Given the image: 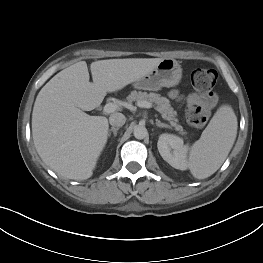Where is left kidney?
<instances>
[{
  "label": "left kidney",
  "mask_w": 263,
  "mask_h": 263,
  "mask_svg": "<svg viewBox=\"0 0 263 263\" xmlns=\"http://www.w3.org/2000/svg\"><path fill=\"white\" fill-rule=\"evenodd\" d=\"M157 147L162 158L172 167L180 170L187 168L188 146L183 139L173 134H161Z\"/></svg>",
  "instance_id": "obj_1"
}]
</instances>
